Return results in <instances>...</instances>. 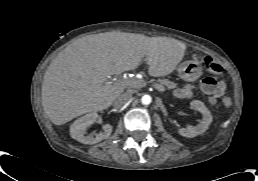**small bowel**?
<instances>
[{
    "label": "small bowel",
    "instance_id": "1",
    "mask_svg": "<svg viewBox=\"0 0 258 181\" xmlns=\"http://www.w3.org/2000/svg\"><path fill=\"white\" fill-rule=\"evenodd\" d=\"M200 89L204 94L208 95V102L214 105L223 95L225 84L223 82H216L212 77H206L200 83ZM193 95L194 91L191 86L182 87L174 92V96L181 99L191 98Z\"/></svg>",
    "mask_w": 258,
    "mask_h": 181
}]
</instances>
